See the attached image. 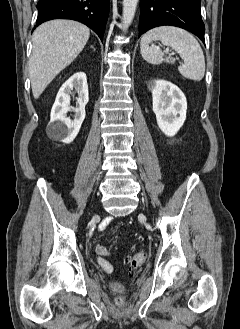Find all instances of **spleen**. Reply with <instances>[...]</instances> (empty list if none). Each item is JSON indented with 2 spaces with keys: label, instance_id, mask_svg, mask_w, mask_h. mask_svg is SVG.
I'll use <instances>...</instances> for the list:
<instances>
[{
  "label": "spleen",
  "instance_id": "obj_1",
  "mask_svg": "<svg viewBox=\"0 0 240 329\" xmlns=\"http://www.w3.org/2000/svg\"><path fill=\"white\" fill-rule=\"evenodd\" d=\"M160 40L162 44L172 47L184 60V64L178 67L180 74L190 80L200 81L205 74V58L201 46L195 37L177 27L161 26L146 32L140 45L142 57L151 64L169 62L164 58L163 52L154 46H149L153 41Z\"/></svg>",
  "mask_w": 240,
  "mask_h": 329
}]
</instances>
